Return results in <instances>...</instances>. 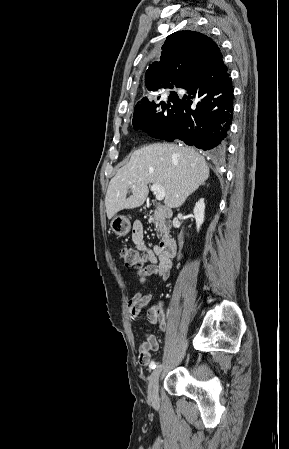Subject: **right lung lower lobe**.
Masks as SVG:
<instances>
[{
    "mask_svg": "<svg viewBox=\"0 0 289 449\" xmlns=\"http://www.w3.org/2000/svg\"><path fill=\"white\" fill-rule=\"evenodd\" d=\"M181 87L189 95L179 98L172 122L155 138L170 142L179 139L212 154L223 151L234 98L227 67L222 66L204 81L188 82Z\"/></svg>",
    "mask_w": 289,
    "mask_h": 449,
    "instance_id": "1",
    "label": "right lung lower lobe"
}]
</instances>
